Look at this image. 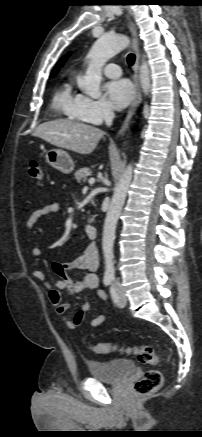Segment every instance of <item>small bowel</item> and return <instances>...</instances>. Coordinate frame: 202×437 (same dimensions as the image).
<instances>
[{
	"label": "small bowel",
	"instance_id": "1",
	"mask_svg": "<svg viewBox=\"0 0 202 437\" xmlns=\"http://www.w3.org/2000/svg\"><path fill=\"white\" fill-rule=\"evenodd\" d=\"M60 205L57 202H51L31 213L26 221V227L30 230L34 225L43 217L58 212ZM32 255L39 257L41 255V249L34 247L32 249ZM99 267V257L97 249L94 245L88 246L83 253L77 256L71 262H55L52 269L56 275L54 286L46 283L49 289V299L54 307L55 313L61 318L69 329L78 328L86 314L91 310L92 302L86 300L81 305L80 310L73 318H70L68 313L70 309L69 303L63 301L62 292L66 291L69 294H77L85 289L96 290L98 287V277L96 271ZM70 271H83L85 275L82 279L74 281L68 274ZM32 276L38 281H45V274L38 269L32 271ZM97 298L102 301L107 300V296L104 291L98 290L96 292ZM105 320L104 315L95 314L90 322L92 328H98Z\"/></svg>",
	"mask_w": 202,
	"mask_h": 437
}]
</instances>
